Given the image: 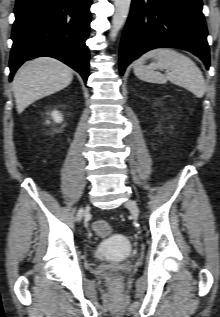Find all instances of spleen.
<instances>
[{"instance_id": "obj_1", "label": "spleen", "mask_w": 220, "mask_h": 317, "mask_svg": "<svg viewBox=\"0 0 220 317\" xmlns=\"http://www.w3.org/2000/svg\"><path fill=\"white\" fill-rule=\"evenodd\" d=\"M151 58L155 62L144 65ZM133 67L134 74L142 81L157 84L170 81L191 91L198 98L205 93L206 85L201 70L189 57L173 49H153L135 61ZM157 69H166L167 73L162 74Z\"/></svg>"}]
</instances>
